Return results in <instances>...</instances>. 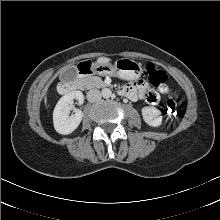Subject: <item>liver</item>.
Here are the masks:
<instances>
[{"label": "liver", "instance_id": "liver-1", "mask_svg": "<svg viewBox=\"0 0 220 220\" xmlns=\"http://www.w3.org/2000/svg\"><path fill=\"white\" fill-rule=\"evenodd\" d=\"M110 61H111V59L108 57H99L96 62H98L100 64H105V63H109Z\"/></svg>", "mask_w": 220, "mask_h": 220}]
</instances>
